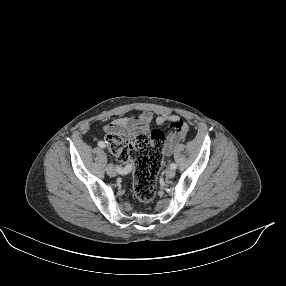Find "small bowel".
I'll return each instance as SVG.
<instances>
[{
    "mask_svg": "<svg viewBox=\"0 0 286 286\" xmlns=\"http://www.w3.org/2000/svg\"><path fill=\"white\" fill-rule=\"evenodd\" d=\"M182 121L181 116L171 113H162L154 116L149 111H143L137 116L119 117L104 125L103 129L110 134H118L125 138L132 139L137 134H147L150 131L151 125L155 123L158 126L170 124L173 132L169 133L164 151L166 155H171L176 146L185 138L188 132V126L185 124L184 129L178 124ZM128 165L124 172L128 171Z\"/></svg>",
    "mask_w": 286,
    "mask_h": 286,
    "instance_id": "small-bowel-1",
    "label": "small bowel"
}]
</instances>
